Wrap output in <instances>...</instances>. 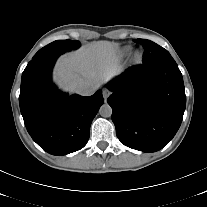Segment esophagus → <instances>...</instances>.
Masks as SVG:
<instances>
[{"label":"esophagus","mask_w":207,"mask_h":207,"mask_svg":"<svg viewBox=\"0 0 207 207\" xmlns=\"http://www.w3.org/2000/svg\"><path fill=\"white\" fill-rule=\"evenodd\" d=\"M102 94H103V98H104L105 100H107V98L111 95V91L108 90V89H103Z\"/></svg>","instance_id":"34e87169"}]
</instances>
